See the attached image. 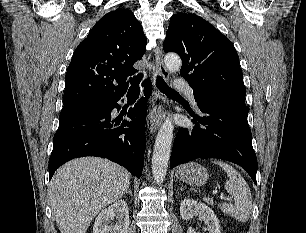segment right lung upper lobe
<instances>
[{"label": "right lung upper lobe", "mask_w": 306, "mask_h": 233, "mask_svg": "<svg viewBox=\"0 0 306 233\" xmlns=\"http://www.w3.org/2000/svg\"><path fill=\"white\" fill-rule=\"evenodd\" d=\"M146 37L128 9L103 16L76 48L65 76L64 106L93 102L111 104L127 91L133 64L145 52Z\"/></svg>", "instance_id": "right-lung-upper-lobe-1"}]
</instances>
